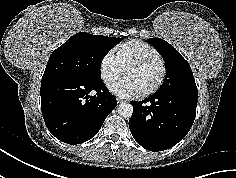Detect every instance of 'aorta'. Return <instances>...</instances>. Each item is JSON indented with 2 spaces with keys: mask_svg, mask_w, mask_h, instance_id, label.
I'll return each instance as SVG.
<instances>
[{
  "mask_svg": "<svg viewBox=\"0 0 236 178\" xmlns=\"http://www.w3.org/2000/svg\"><path fill=\"white\" fill-rule=\"evenodd\" d=\"M117 112L122 117H131L133 113V106L130 103L122 102L118 105Z\"/></svg>",
  "mask_w": 236,
  "mask_h": 178,
  "instance_id": "obj_1",
  "label": "aorta"
}]
</instances>
